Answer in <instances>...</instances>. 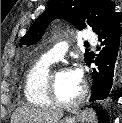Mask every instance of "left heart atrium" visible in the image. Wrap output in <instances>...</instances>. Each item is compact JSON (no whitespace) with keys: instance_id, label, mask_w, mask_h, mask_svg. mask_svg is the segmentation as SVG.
I'll list each match as a JSON object with an SVG mask.
<instances>
[{"instance_id":"1","label":"left heart atrium","mask_w":122,"mask_h":123,"mask_svg":"<svg viewBox=\"0 0 122 123\" xmlns=\"http://www.w3.org/2000/svg\"><path fill=\"white\" fill-rule=\"evenodd\" d=\"M71 73L73 75V77L79 81V82H82V79H83V72H82V69L80 67H75L71 70Z\"/></svg>"}]
</instances>
